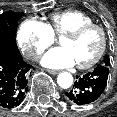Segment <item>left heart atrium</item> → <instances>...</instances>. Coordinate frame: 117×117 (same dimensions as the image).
<instances>
[{
    "label": "left heart atrium",
    "instance_id": "39dd6f15",
    "mask_svg": "<svg viewBox=\"0 0 117 117\" xmlns=\"http://www.w3.org/2000/svg\"><path fill=\"white\" fill-rule=\"evenodd\" d=\"M41 64L48 68H65L76 64L71 51L66 47H58L48 51L41 59Z\"/></svg>",
    "mask_w": 117,
    "mask_h": 117
}]
</instances>
